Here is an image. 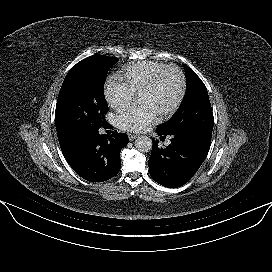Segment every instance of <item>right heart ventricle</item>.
<instances>
[{
  "label": "right heart ventricle",
  "mask_w": 272,
  "mask_h": 272,
  "mask_svg": "<svg viewBox=\"0 0 272 272\" xmlns=\"http://www.w3.org/2000/svg\"><path fill=\"white\" fill-rule=\"evenodd\" d=\"M165 66L166 64L163 62L142 60L124 67L120 77L134 93H139L153 76Z\"/></svg>",
  "instance_id": "right-heart-ventricle-1"
}]
</instances>
